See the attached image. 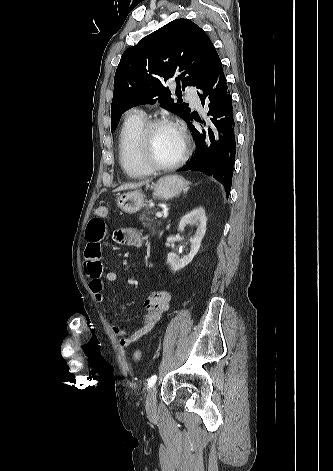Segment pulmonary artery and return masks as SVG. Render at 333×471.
Wrapping results in <instances>:
<instances>
[{
  "label": "pulmonary artery",
  "mask_w": 333,
  "mask_h": 471,
  "mask_svg": "<svg viewBox=\"0 0 333 471\" xmlns=\"http://www.w3.org/2000/svg\"><path fill=\"white\" fill-rule=\"evenodd\" d=\"M186 95H187V98L191 101V103L193 105H195L197 107L200 106L199 98L196 95V93L194 92V90H192L191 88H187L186 89ZM131 113L143 116V112L140 111V110H137V109L132 110Z\"/></svg>",
  "instance_id": "obj_1"
}]
</instances>
